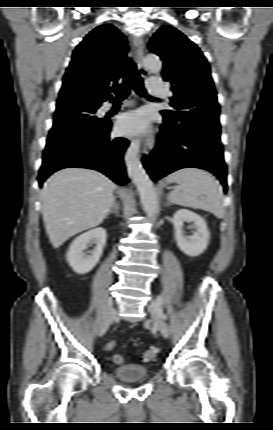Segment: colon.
<instances>
[{"label":"colon","mask_w":273,"mask_h":430,"mask_svg":"<svg viewBox=\"0 0 273 430\" xmlns=\"http://www.w3.org/2000/svg\"><path fill=\"white\" fill-rule=\"evenodd\" d=\"M114 347H115V341H110L107 343V349L111 350ZM157 354H158V348L152 347L144 351L143 353H141L140 359L145 362L152 361L156 358ZM112 359L114 363L117 365H122L124 363V357L120 354L113 355Z\"/></svg>","instance_id":"1"}]
</instances>
